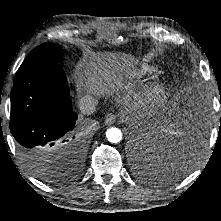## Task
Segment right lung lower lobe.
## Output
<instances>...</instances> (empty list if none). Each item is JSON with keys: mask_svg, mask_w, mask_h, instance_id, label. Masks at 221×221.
I'll use <instances>...</instances> for the list:
<instances>
[{"mask_svg": "<svg viewBox=\"0 0 221 221\" xmlns=\"http://www.w3.org/2000/svg\"><path fill=\"white\" fill-rule=\"evenodd\" d=\"M76 120L60 64L40 68L14 82L10 130L27 160L45 155L55 159L67 151L81 159L83 142L71 139Z\"/></svg>", "mask_w": 221, "mask_h": 221, "instance_id": "98d812e1", "label": "right lung lower lobe"}]
</instances>
